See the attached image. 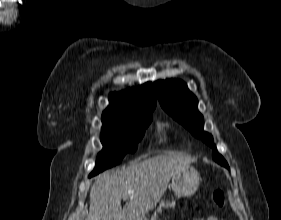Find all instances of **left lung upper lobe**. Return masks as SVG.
Returning <instances> with one entry per match:
<instances>
[{
	"instance_id": "left-lung-upper-lobe-1",
	"label": "left lung upper lobe",
	"mask_w": 281,
	"mask_h": 220,
	"mask_svg": "<svg viewBox=\"0 0 281 220\" xmlns=\"http://www.w3.org/2000/svg\"><path fill=\"white\" fill-rule=\"evenodd\" d=\"M154 88L162 108L195 137L211 146L213 159L229 169L226 160L218 153L212 135L203 130V116L197 110L198 100L187 85L181 80L169 79L154 82Z\"/></svg>"
}]
</instances>
